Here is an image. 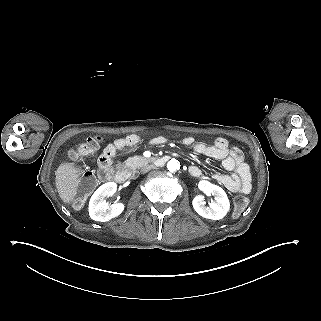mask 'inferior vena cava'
<instances>
[{"label":"inferior vena cava","instance_id":"inferior-vena-cava-1","mask_svg":"<svg viewBox=\"0 0 321 321\" xmlns=\"http://www.w3.org/2000/svg\"><path fill=\"white\" fill-rule=\"evenodd\" d=\"M156 169V167L154 165H146L143 168H141V173L142 174H146L148 173L150 170H154Z\"/></svg>","mask_w":321,"mask_h":321}]
</instances>
